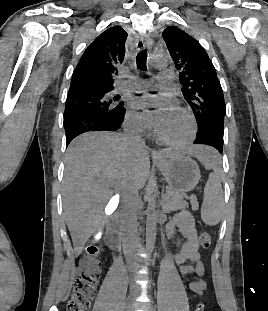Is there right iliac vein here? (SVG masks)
I'll use <instances>...</instances> for the list:
<instances>
[{"instance_id": "63e3f726", "label": "right iliac vein", "mask_w": 268, "mask_h": 311, "mask_svg": "<svg viewBox=\"0 0 268 311\" xmlns=\"http://www.w3.org/2000/svg\"><path fill=\"white\" fill-rule=\"evenodd\" d=\"M135 294H136L135 290L130 291V294H129L127 302H126L125 311H132V308H133L132 303H133V298H134Z\"/></svg>"}]
</instances>
